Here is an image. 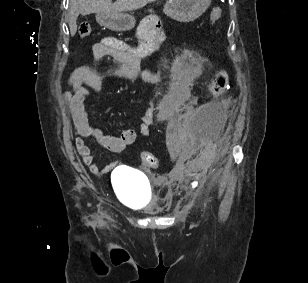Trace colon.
<instances>
[{
	"mask_svg": "<svg viewBox=\"0 0 308 283\" xmlns=\"http://www.w3.org/2000/svg\"><path fill=\"white\" fill-rule=\"evenodd\" d=\"M222 10L220 7H215L210 14V22L214 23L220 19ZM79 34L81 37H88L91 34V26L88 22H81L79 25ZM229 76L226 70H220L214 76L209 91L212 96L217 97L221 95L227 88ZM143 164L148 168H157L159 166V159L150 152H143L141 155Z\"/></svg>",
	"mask_w": 308,
	"mask_h": 283,
	"instance_id": "colon-1",
	"label": "colon"
}]
</instances>
